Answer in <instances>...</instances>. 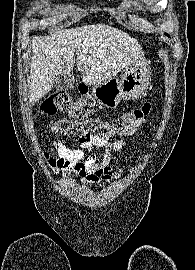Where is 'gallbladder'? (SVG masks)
Instances as JSON below:
<instances>
[{
    "instance_id": "bac80fb5",
    "label": "gallbladder",
    "mask_w": 195,
    "mask_h": 270,
    "mask_svg": "<svg viewBox=\"0 0 195 270\" xmlns=\"http://www.w3.org/2000/svg\"><path fill=\"white\" fill-rule=\"evenodd\" d=\"M74 84V75L73 73H69L67 75L65 74H60L57 76L54 87L57 90H68L70 89Z\"/></svg>"
}]
</instances>
